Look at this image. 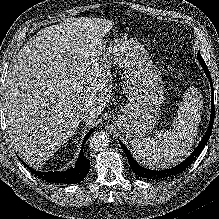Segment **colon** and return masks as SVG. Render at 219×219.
Here are the masks:
<instances>
[{
	"instance_id": "5ec220e1",
	"label": "colon",
	"mask_w": 219,
	"mask_h": 219,
	"mask_svg": "<svg viewBox=\"0 0 219 219\" xmlns=\"http://www.w3.org/2000/svg\"><path fill=\"white\" fill-rule=\"evenodd\" d=\"M181 54L182 52L179 48H173V56L175 57V59L180 58Z\"/></svg>"
}]
</instances>
